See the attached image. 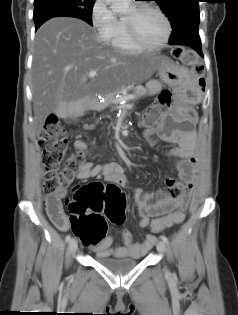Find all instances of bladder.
<instances>
[{"label":"bladder","instance_id":"31cf9c89","mask_svg":"<svg viewBox=\"0 0 238 315\" xmlns=\"http://www.w3.org/2000/svg\"><path fill=\"white\" fill-rule=\"evenodd\" d=\"M96 261L110 272L122 274L134 268L139 263L140 260L135 258L115 259L99 256L96 257Z\"/></svg>","mask_w":238,"mask_h":315}]
</instances>
